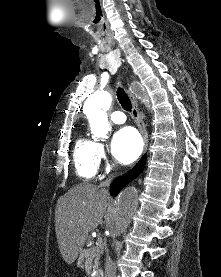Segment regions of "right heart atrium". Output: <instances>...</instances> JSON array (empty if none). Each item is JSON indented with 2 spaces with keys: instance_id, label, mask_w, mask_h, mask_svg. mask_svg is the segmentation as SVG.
<instances>
[{
  "instance_id": "1",
  "label": "right heart atrium",
  "mask_w": 221,
  "mask_h": 277,
  "mask_svg": "<svg viewBox=\"0 0 221 277\" xmlns=\"http://www.w3.org/2000/svg\"><path fill=\"white\" fill-rule=\"evenodd\" d=\"M97 158L99 163H102L106 159L105 146L102 143H97Z\"/></svg>"
}]
</instances>
